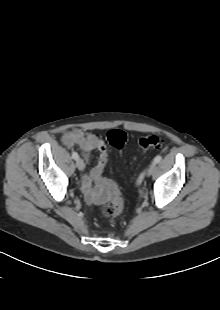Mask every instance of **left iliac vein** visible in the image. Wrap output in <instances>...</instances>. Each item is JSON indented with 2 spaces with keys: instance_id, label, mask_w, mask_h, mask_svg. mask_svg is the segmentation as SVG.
Returning a JSON list of instances; mask_svg holds the SVG:
<instances>
[{
  "instance_id": "obj_1",
  "label": "left iliac vein",
  "mask_w": 220,
  "mask_h": 310,
  "mask_svg": "<svg viewBox=\"0 0 220 310\" xmlns=\"http://www.w3.org/2000/svg\"><path fill=\"white\" fill-rule=\"evenodd\" d=\"M155 167H156V164L153 162L147 169V173H146L147 176H150L153 173V171L155 170Z\"/></svg>"
}]
</instances>
